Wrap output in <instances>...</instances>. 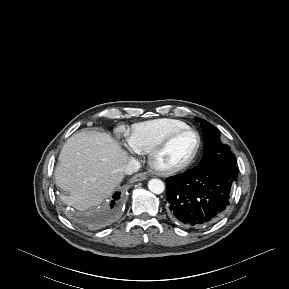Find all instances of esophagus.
Returning a JSON list of instances; mask_svg holds the SVG:
<instances>
[{"label":"esophagus","mask_w":289,"mask_h":289,"mask_svg":"<svg viewBox=\"0 0 289 289\" xmlns=\"http://www.w3.org/2000/svg\"><path fill=\"white\" fill-rule=\"evenodd\" d=\"M147 178H148V176L145 173H138V174L134 175L130 181L131 182H138V181L146 180Z\"/></svg>","instance_id":"34e87169"}]
</instances>
